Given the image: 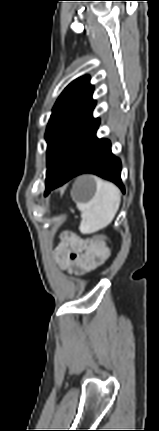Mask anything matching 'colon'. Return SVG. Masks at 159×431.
Instances as JSON below:
<instances>
[{"label":"colon","mask_w":159,"mask_h":431,"mask_svg":"<svg viewBox=\"0 0 159 431\" xmlns=\"http://www.w3.org/2000/svg\"><path fill=\"white\" fill-rule=\"evenodd\" d=\"M100 236H103L104 238H105V241L107 242L109 239H108V237H106V236H104V235H100ZM96 237V236H95ZM95 237L93 238V239H95Z\"/></svg>","instance_id":"5ec220e1"}]
</instances>
